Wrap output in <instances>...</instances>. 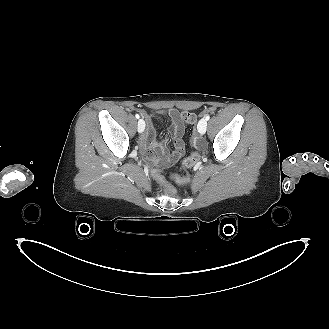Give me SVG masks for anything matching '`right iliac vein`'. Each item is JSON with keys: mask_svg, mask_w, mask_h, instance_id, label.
Listing matches in <instances>:
<instances>
[{"mask_svg": "<svg viewBox=\"0 0 329 329\" xmlns=\"http://www.w3.org/2000/svg\"><path fill=\"white\" fill-rule=\"evenodd\" d=\"M137 129H138V132H139V133H142V132L144 131V129H145V122H144L143 119H140V120L138 121Z\"/></svg>", "mask_w": 329, "mask_h": 329, "instance_id": "right-iliac-vein-1", "label": "right iliac vein"}]
</instances>
